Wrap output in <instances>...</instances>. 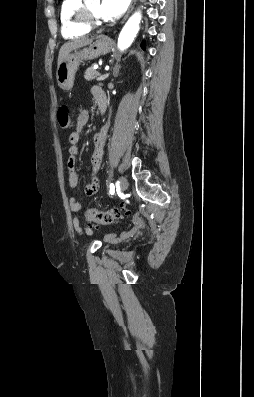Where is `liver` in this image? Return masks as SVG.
<instances>
[{
  "label": "liver",
  "instance_id": "1",
  "mask_svg": "<svg viewBox=\"0 0 254 397\" xmlns=\"http://www.w3.org/2000/svg\"><path fill=\"white\" fill-rule=\"evenodd\" d=\"M93 39L87 38V37H82L75 39L71 42H66L62 45L59 51L58 55V65L61 63V61L73 50L84 47L86 45L91 44Z\"/></svg>",
  "mask_w": 254,
  "mask_h": 397
}]
</instances>
